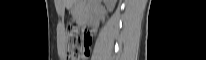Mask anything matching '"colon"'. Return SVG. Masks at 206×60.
<instances>
[{"label":"colon","mask_w":206,"mask_h":60,"mask_svg":"<svg viewBox=\"0 0 206 60\" xmlns=\"http://www.w3.org/2000/svg\"><path fill=\"white\" fill-rule=\"evenodd\" d=\"M67 56L69 60L84 59L88 53L90 36L88 33H81L78 27L70 24L66 30Z\"/></svg>","instance_id":"1"}]
</instances>
